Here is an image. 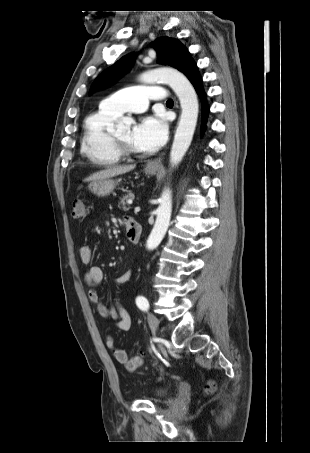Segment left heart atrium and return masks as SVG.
I'll use <instances>...</instances> for the list:
<instances>
[{
    "label": "left heart atrium",
    "mask_w": 310,
    "mask_h": 453,
    "mask_svg": "<svg viewBox=\"0 0 310 453\" xmlns=\"http://www.w3.org/2000/svg\"><path fill=\"white\" fill-rule=\"evenodd\" d=\"M167 132L168 127L164 118L156 115L146 116L133 127L132 141L139 150L153 151L164 144Z\"/></svg>",
    "instance_id": "1"
}]
</instances>
